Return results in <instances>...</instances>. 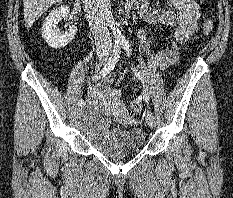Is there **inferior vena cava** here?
<instances>
[{
    "label": "inferior vena cava",
    "instance_id": "1",
    "mask_svg": "<svg viewBox=\"0 0 233 198\" xmlns=\"http://www.w3.org/2000/svg\"><path fill=\"white\" fill-rule=\"evenodd\" d=\"M86 19L94 35L97 51H110L112 42L102 13L101 0H83Z\"/></svg>",
    "mask_w": 233,
    "mask_h": 198
}]
</instances>
